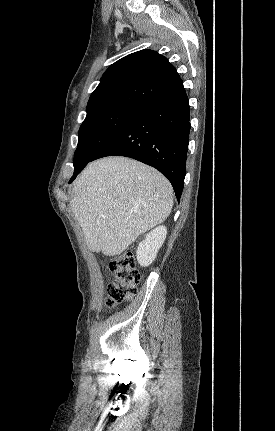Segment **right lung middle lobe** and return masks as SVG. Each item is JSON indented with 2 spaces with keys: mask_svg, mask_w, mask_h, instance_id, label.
I'll use <instances>...</instances> for the list:
<instances>
[{
  "mask_svg": "<svg viewBox=\"0 0 275 431\" xmlns=\"http://www.w3.org/2000/svg\"><path fill=\"white\" fill-rule=\"evenodd\" d=\"M136 109L117 108L86 116L74 155V174L81 171L95 153L134 115Z\"/></svg>",
  "mask_w": 275,
  "mask_h": 431,
  "instance_id": "right-lung-middle-lobe-1",
  "label": "right lung middle lobe"
}]
</instances>
